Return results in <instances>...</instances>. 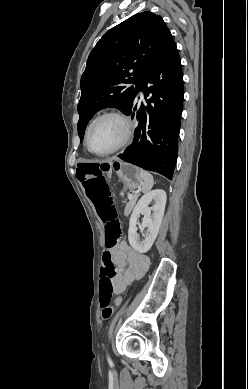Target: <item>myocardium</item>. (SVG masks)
I'll return each mask as SVG.
<instances>
[{
  "mask_svg": "<svg viewBox=\"0 0 248 389\" xmlns=\"http://www.w3.org/2000/svg\"><path fill=\"white\" fill-rule=\"evenodd\" d=\"M105 118H114L120 121V123L123 126L124 133L122 139L112 148L103 151V152H97L91 149L90 144H89V139H90V132L92 127L100 120L105 119ZM134 134V126L131 121V119L124 114L123 112L117 111V110H109L105 111L99 115H97L95 118H93L90 123L88 124L85 132V145L88 151L96 156H108L111 155L120 149L124 148L126 145L130 143V141L133 138Z\"/></svg>",
  "mask_w": 248,
  "mask_h": 389,
  "instance_id": "myocardium-1",
  "label": "myocardium"
}]
</instances>
